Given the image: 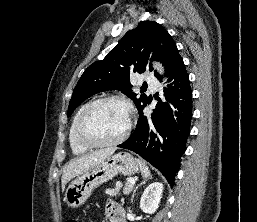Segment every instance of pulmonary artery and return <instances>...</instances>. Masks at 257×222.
Segmentation results:
<instances>
[{
	"mask_svg": "<svg viewBox=\"0 0 257 222\" xmlns=\"http://www.w3.org/2000/svg\"><path fill=\"white\" fill-rule=\"evenodd\" d=\"M145 82L149 87L154 88V89H156L159 85V82L151 75L145 76Z\"/></svg>",
	"mask_w": 257,
	"mask_h": 222,
	"instance_id": "e3ab8cb5",
	"label": "pulmonary artery"
}]
</instances>
